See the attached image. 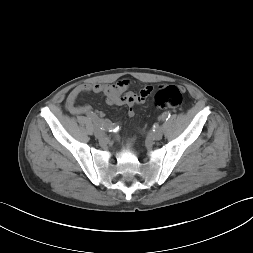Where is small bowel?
<instances>
[{
  "instance_id": "obj_1",
  "label": "small bowel",
  "mask_w": 253,
  "mask_h": 253,
  "mask_svg": "<svg viewBox=\"0 0 253 253\" xmlns=\"http://www.w3.org/2000/svg\"><path fill=\"white\" fill-rule=\"evenodd\" d=\"M131 85V81L128 79H122L114 84H82L75 87L68 95L66 100V109L73 115H86L90 117L97 115V113L89 105H78L77 99L83 92H93L101 94L108 105L129 106L128 115H134L133 106L140 104L152 93L153 88L146 86L142 88L139 93H133L127 91ZM99 116H103L100 112ZM104 122L109 123L108 120Z\"/></svg>"
}]
</instances>
